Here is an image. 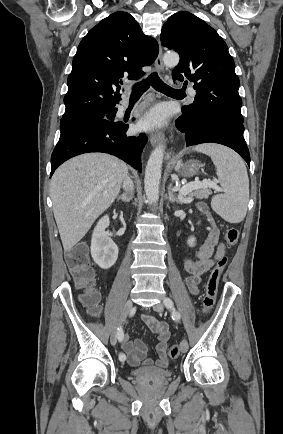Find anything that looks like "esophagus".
<instances>
[{"mask_svg":"<svg viewBox=\"0 0 283 434\" xmlns=\"http://www.w3.org/2000/svg\"><path fill=\"white\" fill-rule=\"evenodd\" d=\"M155 66L159 71H162L164 69L163 61H162V49L160 47L158 56L155 60ZM164 140V134L162 132L154 133L150 135V142L153 146H155L157 143ZM167 157H169V154H167Z\"/></svg>","mask_w":283,"mask_h":434,"instance_id":"esophagus-1","label":"esophagus"}]
</instances>
